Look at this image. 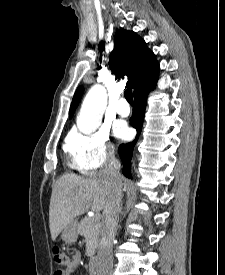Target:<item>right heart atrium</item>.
I'll list each match as a JSON object with an SVG mask.
<instances>
[{
    "mask_svg": "<svg viewBox=\"0 0 225 275\" xmlns=\"http://www.w3.org/2000/svg\"><path fill=\"white\" fill-rule=\"evenodd\" d=\"M66 150L76 168L83 172L102 167L114 155L110 134L105 128L91 133L73 131L67 138Z\"/></svg>",
    "mask_w": 225,
    "mask_h": 275,
    "instance_id": "d8ad5b80",
    "label": "right heart atrium"
}]
</instances>
